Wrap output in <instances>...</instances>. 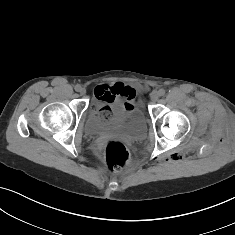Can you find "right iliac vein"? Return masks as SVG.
Returning <instances> with one entry per match:
<instances>
[{
  "label": "right iliac vein",
  "mask_w": 235,
  "mask_h": 235,
  "mask_svg": "<svg viewBox=\"0 0 235 235\" xmlns=\"http://www.w3.org/2000/svg\"><path fill=\"white\" fill-rule=\"evenodd\" d=\"M79 93H80L81 95H84V94L86 93V89L83 88V87H81L80 90H79Z\"/></svg>",
  "instance_id": "1"
}]
</instances>
